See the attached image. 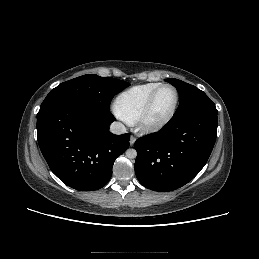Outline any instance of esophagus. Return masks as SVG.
Masks as SVG:
<instances>
[{
  "instance_id": "obj_1",
  "label": "esophagus",
  "mask_w": 259,
  "mask_h": 259,
  "mask_svg": "<svg viewBox=\"0 0 259 259\" xmlns=\"http://www.w3.org/2000/svg\"><path fill=\"white\" fill-rule=\"evenodd\" d=\"M135 141H136V138L134 136H131L129 141L130 145L133 146Z\"/></svg>"
}]
</instances>
